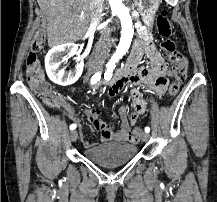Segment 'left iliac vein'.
Segmentation results:
<instances>
[{
  "instance_id": "1",
  "label": "left iliac vein",
  "mask_w": 217,
  "mask_h": 202,
  "mask_svg": "<svg viewBox=\"0 0 217 202\" xmlns=\"http://www.w3.org/2000/svg\"><path fill=\"white\" fill-rule=\"evenodd\" d=\"M140 139H141L142 141H147V140L149 139V134H148V133H145V132L141 133V134H140Z\"/></svg>"
}]
</instances>
